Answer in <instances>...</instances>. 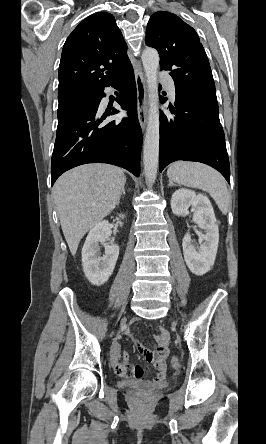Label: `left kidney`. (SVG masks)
<instances>
[{
  "mask_svg": "<svg viewBox=\"0 0 266 444\" xmlns=\"http://www.w3.org/2000/svg\"><path fill=\"white\" fill-rule=\"evenodd\" d=\"M193 208V221L204 230L199 232L202 243L198 250L192 245L189 233L183 237L182 246L185 262L189 270L195 275L207 273L214 265L218 242L219 230L213 207L209 199L203 194H196L192 190L178 189L171 198L172 212L183 215Z\"/></svg>",
  "mask_w": 266,
  "mask_h": 444,
  "instance_id": "left-kidney-1",
  "label": "left kidney"
}]
</instances>
